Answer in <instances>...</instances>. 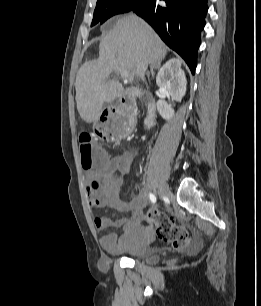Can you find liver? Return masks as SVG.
<instances>
[{
    "mask_svg": "<svg viewBox=\"0 0 261 306\" xmlns=\"http://www.w3.org/2000/svg\"><path fill=\"white\" fill-rule=\"evenodd\" d=\"M166 54L167 47L143 19L133 14L119 18L101 40L98 59L84 63L77 73L75 88L80 117L87 123L94 122L104 103H112L123 95L121 83L107 80L111 73L129 71L131 83L143 59L150 64L161 63Z\"/></svg>",
    "mask_w": 261,
    "mask_h": 306,
    "instance_id": "obj_1",
    "label": "liver"
}]
</instances>
